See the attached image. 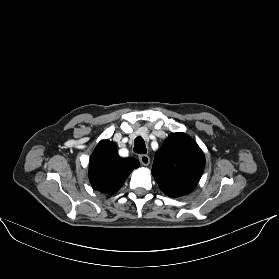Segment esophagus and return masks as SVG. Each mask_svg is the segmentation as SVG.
I'll return each instance as SVG.
<instances>
[{
  "label": "esophagus",
  "instance_id": "34e87169",
  "mask_svg": "<svg viewBox=\"0 0 279 279\" xmlns=\"http://www.w3.org/2000/svg\"><path fill=\"white\" fill-rule=\"evenodd\" d=\"M139 160H140L141 164L144 166H148L150 163V158L148 155H140Z\"/></svg>",
  "mask_w": 279,
  "mask_h": 279
}]
</instances>
